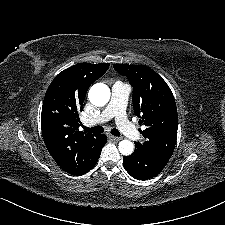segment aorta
Listing matches in <instances>:
<instances>
[{"label": "aorta", "instance_id": "762f6f07", "mask_svg": "<svg viewBox=\"0 0 225 225\" xmlns=\"http://www.w3.org/2000/svg\"><path fill=\"white\" fill-rule=\"evenodd\" d=\"M110 89L103 83L94 84L88 93V98L93 105L104 106L110 99ZM119 152L122 155L129 156L133 153L134 144L129 140H122L118 146Z\"/></svg>", "mask_w": 225, "mask_h": 225}]
</instances>
